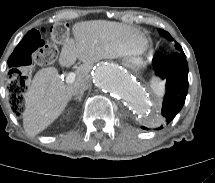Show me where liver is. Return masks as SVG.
Returning a JSON list of instances; mask_svg holds the SVG:
<instances>
[{
    "label": "liver",
    "instance_id": "obj_1",
    "mask_svg": "<svg viewBox=\"0 0 215 183\" xmlns=\"http://www.w3.org/2000/svg\"><path fill=\"white\" fill-rule=\"evenodd\" d=\"M72 31L74 38L64 41L59 64L69 68L77 59L82 61L76 70V81L89 79L95 62L139 56L148 48L147 39L139 29L119 22L84 21L74 24ZM74 83L65 85L54 67L43 68L35 74L26 94L23 113V127L28 134L36 136L62 114L75 95Z\"/></svg>",
    "mask_w": 215,
    "mask_h": 183
}]
</instances>
